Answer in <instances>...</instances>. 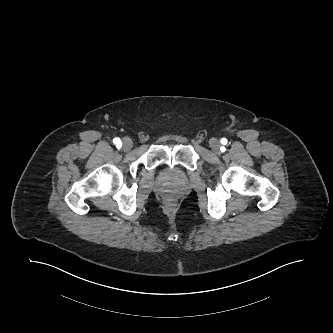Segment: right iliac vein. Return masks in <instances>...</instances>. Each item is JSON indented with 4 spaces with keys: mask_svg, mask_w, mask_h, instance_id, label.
<instances>
[{
    "mask_svg": "<svg viewBox=\"0 0 333 333\" xmlns=\"http://www.w3.org/2000/svg\"><path fill=\"white\" fill-rule=\"evenodd\" d=\"M133 146V142L130 138H124L122 140V149L124 151H129Z\"/></svg>",
    "mask_w": 333,
    "mask_h": 333,
    "instance_id": "right-iliac-vein-1",
    "label": "right iliac vein"
}]
</instances>
